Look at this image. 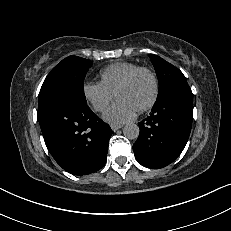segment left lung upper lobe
Wrapping results in <instances>:
<instances>
[{
	"instance_id": "left-lung-upper-lobe-1",
	"label": "left lung upper lobe",
	"mask_w": 231,
	"mask_h": 231,
	"mask_svg": "<svg viewBox=\"0 0 231 231\" xmlns=\"http://www.w3.org/2000/svg\"><path fill=\"white\" fill-rule=\"evenodd\" d=\"M149 56L159 80L158 96L174 85L187 83L183 73L175 66L157 55L150 54Z\"/></svg>"
}]
</instances>
